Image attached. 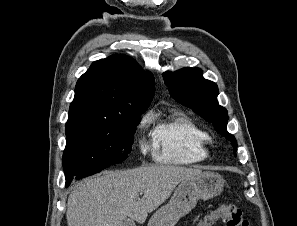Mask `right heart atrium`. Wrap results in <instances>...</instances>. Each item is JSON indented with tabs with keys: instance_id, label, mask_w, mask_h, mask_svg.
<instances>
[{
	"instance_id": "d8ad5b80",
	"label": "right heart atrium",
	"mask_w": 297,
	"mask_h": 226,
	"mask_svg": "<svg viewBox=\"0 0 297 226\" xmlns=\"http://www.w3.org/2000/svg\"><path fill=\"white\" fill-rule=\"evenodd\" d=\"M140 146H141V149H142V152L143 153H147L148 150H149V146L144 144L143 142H140Z\"/></svg>"
}]
</instances>
